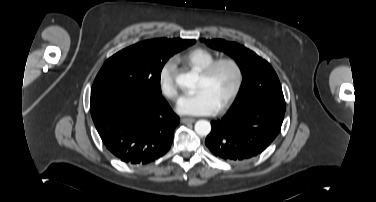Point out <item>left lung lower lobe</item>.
I'll list each match as a JSON object with an SVG mask.
<instances>
[{"instance_id": "left-lung-lower-lobe-1", "label": "left lung lower lobe", "mask_w": 376, "mask_h": 202, "mask_svg": "<svg viewBox=\"0 0 376 202\" xmlns=\"http://www.w3.org/2000/svg\"><path fill=\"white\" fill-rule=\"evenodd\" d=\"M284 112L265 105H252L212 121L206 146L218 158L240 162L259 155L279 134Z\"/></svg>"}]
</instances>
